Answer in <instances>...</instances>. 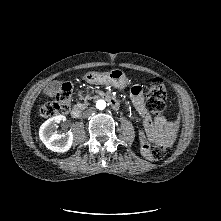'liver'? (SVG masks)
Returning a JSON list of instances; mask_svg holds the SVG:
<instances>
[{"mask_svg": "<svg viewBox=\"0 0 221 221\" xmlns=\"http://www.w3.org/2000/svg\"><path fill=\"white\" fill-rule=\"evenodd\" d=\"M46 93H47V95H49V96H53V95L56 94V91H55V90H48Z\"/></svg>", "mask_w": 221, "mask_h": 221, "instance_id": "6515ba94", "label": "liver"}]
</instances>
